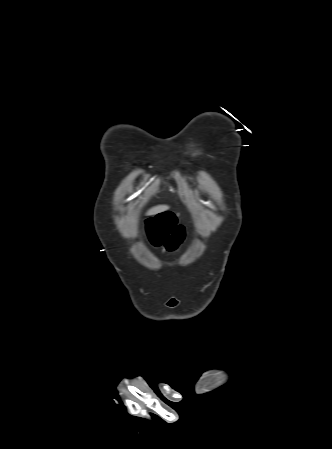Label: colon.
Listing matches in <instances>:
<instances>
[{
  "label": "colon",
  "mask_w": 332,
  "mask_h": 449,
  "mask_svg": "<svg viewBox=\"0 0 332 449\" xmlns=\"http://www.w3.org/2000/svg\"><path fill=\"white\" fill-rule=\"evenodd\" d=\"M147 230L151 243L155 247L164 246L175 251L185 237L184 227L176 221L171 212H164L147 221Z\"/></svg>",
  "instance_id": "colon-1"
}]
</instances>
